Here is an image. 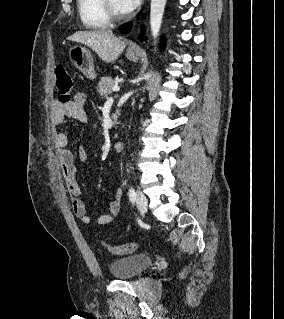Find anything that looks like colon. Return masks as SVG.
Listing matches in <instances>:
<instances>
[{
  "instance_id": "1",
  "label": "colon",
  "mask_w": 284,
  "mask_h": 319,
  "mask_svg": "<svg viewBox=\"0 0 284 319\" xmlns=\"http://www.w3.org/2000/svg\"><path fill=\"white\" fill-rule=\"evenodd\" d=\"M56 74V94L59 102L61 104H68L71 100V94L73 89V80L64 65L57 66L55 70ZM103 246L112 254L124 255L132 253L137 248V243L130 242L122 246H111L103 243Z\"/></svg>"
}]
</instances>
